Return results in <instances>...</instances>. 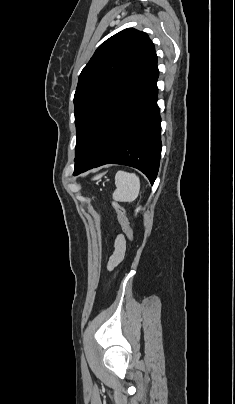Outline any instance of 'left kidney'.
I'll use <instances>...</instances> for the list:
<instances>
[{
  "mask_svg": "<svg viewBox=\"0 0 235 404\" xmlns=\"http://www.w3.org/2000/svg\"><path fill=\"white\" fill-rule=\"evenodd\" d=\"M139 209H140V208H137V209H136V212H138V211H139Z\"/></svg>",
  "mask_w": 235,
  "mask_h": 404,
  "instance_id": "obj_1",
  "label": "left kidney"
}]
</instances>
